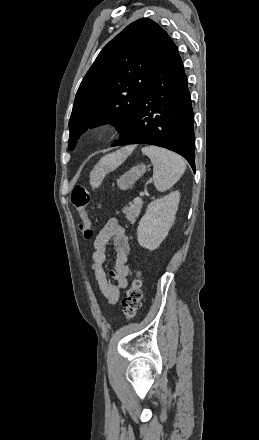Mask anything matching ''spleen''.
Segmentation results:
<instances>
[{
	"label": "spleen",
	"instance_id": "obj_1",
	"mask_svg": "<svg viewBox=\"0 0 259 440\" xmlns=\"http://www.w3.org/2000/svg\"><path fill=\"white\" fill-rule=\"evenodd\" d=\"M142 153L147 155L153 164L154 185L160 192L170 189L185 172V161L171 151L147 146L142 148Z\"/></svg>",
	"mask_w": 259,
	"mask_h": 440
}]
</instances>
